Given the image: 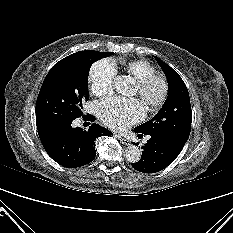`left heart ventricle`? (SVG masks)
Here are the masks:
<instances>
[{
  "label": "left heart ventricle",
  "instance_id": "obj_1",
  "mask_svg": "<svg viewBox=\"0 0 233 233\" xmlns=\"http://www.w3.org/2000/svg\"><path fill=\"white\" fill-rule=\"evenodd\" d=\"M159 92V85H155L152 89V95L155 96Z\"/></svg>",
  "mask_w": 233,
  "mask_h": 233
}]
</instances>
